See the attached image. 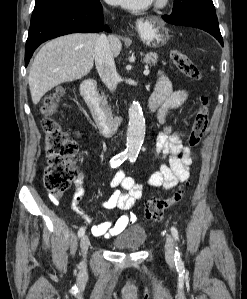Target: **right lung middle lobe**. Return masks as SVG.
<instances>
[{
    "instance_id": "right-lung-middle-lobe-1",
    "label": "right lung middle lobe",
    "mask_w": 247,
    "mask_h": 299,
    "mask_svg": "<svg viewBox=\"0 0 247 299\" xmlns=\"http://www.w3.org/2000/svg\"><path fill=\"white\" fill-rule=\"evenodd\" d=\"M93 0H35V7L31 17V24L39 19L68 6L89 3Z\"/></svg>"
}]
</instances>
